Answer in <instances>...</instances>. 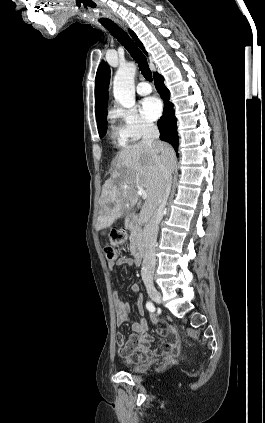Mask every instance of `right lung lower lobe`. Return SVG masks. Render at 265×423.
<instances>
[{"label":"right lung lower lobe","instance_id":"98d812e1","mask_svg":"<svg viewBox=\"0 0 265 423\" xmlns=\"http://www.w3.org/2000/svg\"><path fill=\"white\" fill-rule=\"evenodd\" d=\"M155 87L158 93L164 100V111L160 120L157 122L160 139L170 143L175 151L177 152L178 148V133L176 126V117L174 116L173 104L169 101L170 92L164 85L163 76L158 73L154 74ZM178 156V153H177Z\"/></svg>","mask_w":265,"mask_h":423}]
</instances>
